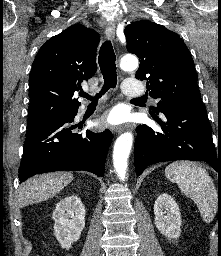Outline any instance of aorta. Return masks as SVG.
Returning <instances> with one entry per match:
<instances>
[{"label":"aorta","instance_id":"762f6f07","mask_svg":"<svg viewBox=\"0 0 221 256\" xmlns=\"http://www.w3.org/2000/svg\"><path fill=\"white\" fill-rule=\"evenodd\" d=\"M120 67L123 70H135L138 67V60L135 57H124L121 60ZM133 143V135L131 132L121 134L115 144L113 150V164L119 178L124 181L127 177V160Z\"/></svg>","mask_w":221,"mask_h":256}]
</instances>
